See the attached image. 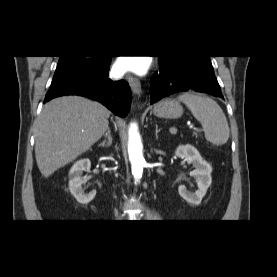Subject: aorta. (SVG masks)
Instances as JSON below:
<instances>
[{"label":"aorta","mask_w":277,"mask_h":277,"mask_svg":"<svg viewBox=\"0 0 277 277\" xmlns=\"http://www.w3.org/2000/svg\"><path fill=\"white\" fill-rule=\"evenodd\" d=\"M142 149L143 146L138 125L135 122L131 123L128 131V154L131 162L132 175L137 181L142 177L145 164Z\"/></svg>","instance_id":"1"}]
</instances>
